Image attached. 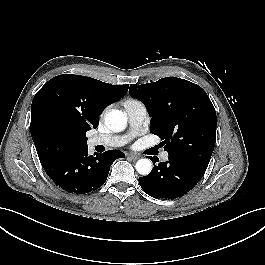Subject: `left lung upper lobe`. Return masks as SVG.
<instances>
[{"instance_id":"obj_1","label":"left lung upper lobe","mask_w":265,"mask_h":265,"mask_svg":"<svg viewBox=\"0 0 265 265\" xmlns=\"http://www.w3.org/2000/svg\"><path fill=\"white\" fill-rule=\"evenodd\" d=\"M146 106L150 132L158 135L169 157L207 169L215 146L216 111L198 85L177 77L130 86Z\"/></svg>"}]
</instances>
